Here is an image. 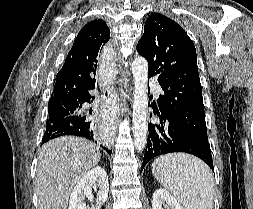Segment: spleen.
<instances>
[{"label": "spleen", "instance_id": "spleen-1", "mask_svg": "<svg viewBox=\"0 0 253 209\" xmlns=\"http://www.w3.org/2000/svg\"><path fill=\"white\" fill-rule=\"evenodd\" d=\"M152 174L183 209H213V174L200 159L183 153L163 155L154 160Z\"/></svg>", "mask_w": 253, "mask_h": 209}]
</instances>
